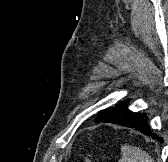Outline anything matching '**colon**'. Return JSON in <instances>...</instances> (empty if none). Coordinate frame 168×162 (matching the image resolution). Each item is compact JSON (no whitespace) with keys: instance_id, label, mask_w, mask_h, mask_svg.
Masks as SVG:
<instances>
[{"instance_id":"obj_1","label":"colon","mask_w":168,"mask_h":162,"mask_svg":"<svg viewBox=\"0 0 168 162\" xmlns=\"http://www.w3.org/2000/svg\"><path fill=\"white\" fill-rule=\"evenodd\" d=\"M83 162H91V160L89 158L85 157Z\"/></svg>"}]
</instances>
